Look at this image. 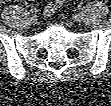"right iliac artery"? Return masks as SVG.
<instances>
[{
    "label": "right iliac artery",
    "instance_id": "right-iliac-artery-1",
    "mask_svg": "<svg viewBox=\"0 0 111 106\" xmlns=\"http://www.w3.org/2000/svg\"><path fill=\"white\" fill-rule=\"evenodd\" d=\"M38 10L36 8H31L30 12L35 14Z\"/></svg>",
    "mask_w": 111,
    "mask_h": 106
}]
</instances>
